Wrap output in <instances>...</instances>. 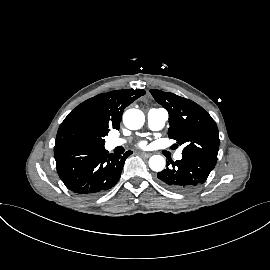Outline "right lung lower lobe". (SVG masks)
I'll return each mask as SVG.
<instances>
[{
	"mask_svg": "<svg viewBox=\"0 0 270 270\" xmlns=\"http://www.w3.org/2000/svg\"><path fill=\"white\" fill-rule=\"evenodd\" d=\"M130 154L131 151L124 155H111L104 147L54 148L59 177L69 190L86 197L112 188Z\"/></svg>",
	"mask_w": 270,
	"mask_h": 270,
	"instance_id": "obj_1",
	"label": "right lung lower lobe"
}]
</instances>
